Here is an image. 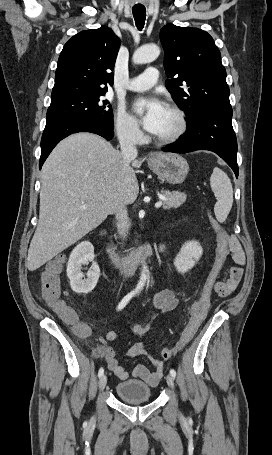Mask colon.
Listing matches in <instances>:
<instances>
[{
	"instance_id": "obj_1",
	"label": "colon",
	"mask_w": 272,
	"mask_h": 455,
	"mask_svg": "<svg viewBox=\"0 0 272 455\" xmlns=\"http://www.w3.org/2000/svg\"><path fill=\"white\" fill-rule=\"evenodd\" d=\"M213 225L217 236L215 260L208 273L199 298L191 307L189 323L182 332L179 340L172 347L160 351V358L162 360L169 359L172 355L183 349L193 339L207 315L212 301L214 284L218 280L230 252V237L227 230L216 221L213 222ZM61 269L62 264L60 259L53 260L47 264L46 269L41 276V297L63 320L73 324L74 330L79 335L85 336L89 333L88 327L85 324L78 322L75 311L64 301L65 292L60 280Z\"/></svg>"
}]
</instances>
